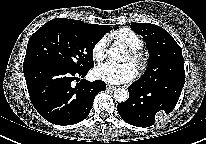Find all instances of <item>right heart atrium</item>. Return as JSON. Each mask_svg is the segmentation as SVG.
<instances>
[{"label":"right heart atrium","mask_w":206,"mask_h":144,"mask_svg":"<svg viewBox=\"0 0 206 144\" xmlns=\"http://www.w3.org/2000/svg\"><path fill=\"white\" fill-rule=\"evenodd\" d=\"M107 37L100 38L92 48V56L95 61H102L106 57L107 52Z\"/></svg>","instance_id":"obj_1"}]
</instances>
